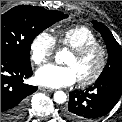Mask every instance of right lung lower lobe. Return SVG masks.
<instances>
[{"label": "right lung lower lobe", "instance_id": "right-lung-lower-lobe-1", "mask_svg": "<svg viewBox=\"0 0 122 122\" xmlns=\"http://www.w3.org/2000/svg\"><path fill=\"white\" fill-rule=\"evenodd\" d=\"M31 75V65L1 53V122H19L25 115L29 96L38 88L24 83Z\"/></svg>", "mask_w": 122, "mask_h": 122}]
</instances>
